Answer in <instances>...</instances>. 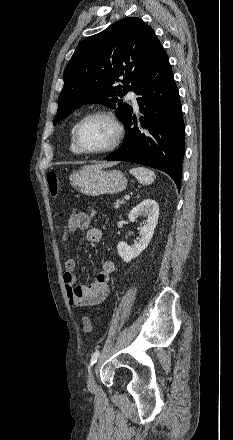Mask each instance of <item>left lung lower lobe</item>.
<instances>
[{
  "instance_id": "obj_1",
  "label": "left lung lower lobe",
  "mask_w": 233,
  "mask_h": 440,
  "mask_svg": "<svg viewBox=\"0 0 233 440\" xmlns=\"http://www.w3.org/2000/svg\"><path fill=\"white\" fill-rule=\"evenodd\" d=\"M141 127L132 112L125 125L122 146L107 160L143 164L166 172L181 187V168L185 153V125L178 88L169 59L162 51L147 77L136 90Z\"/></svg>"
}]
</instances>
